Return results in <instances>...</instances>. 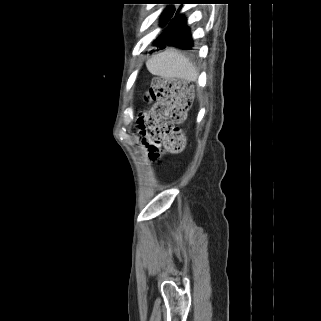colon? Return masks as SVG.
Wrapping results in <instances>:
<instances>
[{"label":"colon","instance_id":"colon-1","mask_svg":"<svg viewBox=\"0 0 321 321\" xmlns=\"http://www.w3.org/2000/svg\"><path fill=\"white\" fill-rule=\"evenodd\" d=\"M146 98L155 103L146 120L155 144L152 158L159 155L161 146L168 152L180 153L185 147V137L178 125L184 122L191 107L192 84L178 79L155 78Z\"/></svg>","mask_w":321,"mask_h":321}]
</instances>
